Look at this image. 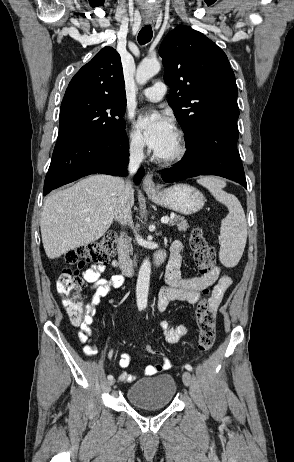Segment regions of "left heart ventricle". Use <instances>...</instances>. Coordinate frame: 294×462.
<instances>
[{"label":"left heart ventricle","instance_id":"obj_1","mask_svg":"<svg viewBox=\"0 0 294 462\" xmlns=\"http://www.w3.org/2000/svg\"><path fill=\"white\" fill-rule=\"evenodd\" d=\"M177 150V137L174 138L172 143L169 145L165 153L162 155L163 157H167L175 153Z\"/></svg>","mask_w":294,"mask_h":462}]
</instances>
